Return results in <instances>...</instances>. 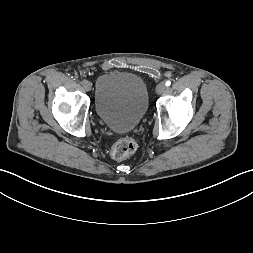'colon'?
<instances>
[{"mask_svg":"<svg viewBox=\"0 0 253 253\" xmlns=\"http://www.w3.org/2000/svg\"><path fill=\"white\" fill-rule=\"evenodd\" d=\"M137 142L135 139L126 137L118 140L110 150V156L114 160H123L135 152Z\"/></svg>","mask_w":253,"mask_h":253,"instance_id":"1","label":"colon"}]
</instances>
